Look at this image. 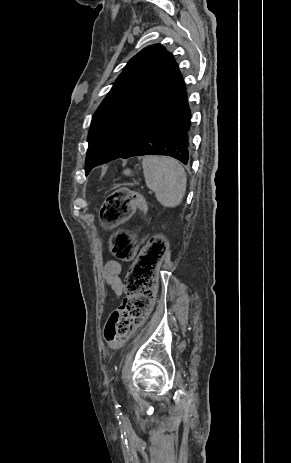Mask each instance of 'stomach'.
I'll return each mask as SVG.
<instances>
[{"instance_id":"1","label":"stomach","mask_w":291,"mask_h":463,"mask_svg":"<svg viewBox=\"0 0 291 463\" xmlns=\"http://www.w3.org/2000/svg\"><path fill=\"white\" fill-rule=\"evenodd\" d=\"M131 173H132V172H131L130 169H126V170L124 171V174H125V175H130Z\"/></svg>"}]
</instances>
